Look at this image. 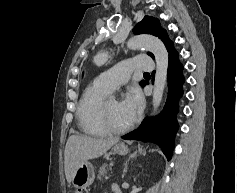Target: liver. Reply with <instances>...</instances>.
Segmentation results:
<instances>
[{
  "instance_id": "6515ba94",
  "label": "liver",
  "mask_w": 237,
  "mask_h": 193,
  "mask_svg": "<svg viewBox=\"0 0 237 193\" xmlns=\"http://www.w3.org/2000/svg\"><path fill=\"white\" fill-rule=\"evenodd\" d=\"M118 138H93L89 136L71 135L66 143L64 152L65 176L68 183L73 179L77 167L91 159L106 153Z\"/></svg>"
}]
</instances>
